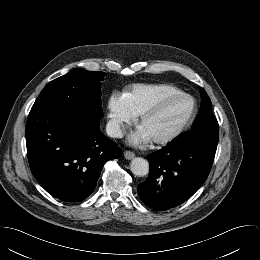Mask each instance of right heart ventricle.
<instances>
[{"mask_svg":"<svg viewBox=\"0 0 260 260\" xmlns=\"http://www.w3.org/2000/svg\"><path fill=\"white\" fill-rule=\"evenodd\" d=\"M179 91L171 84H136L131 86L124 96L130 110L135 115H140L160 98Z\"/></svg>","mask_w":260,"mask_h":260,"instance_id":"1","label":"right heart ventricle"}]
</instances>
